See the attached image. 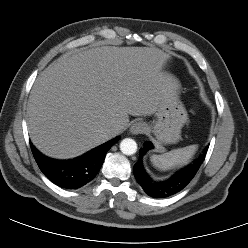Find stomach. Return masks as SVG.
Masks as SVG:
<instances>
[{"label": "stomach", "mask_w": 248, "mask_h": 248, "mask_svg": "<svg viewBox=\"0 0 248 248\" xmlns=\"http://www.w3.org/2000/svg\"><path fill=\"white\" fill-rule=\"evenodd\" d=\"M172 86V92L166 103L156 113V120L147 127L159 144H173L181 139V129L188 122L187 111L179 99L180 83L166 74Z\"/></svg>", "instance_id": "obj_1"}]
</instances>
